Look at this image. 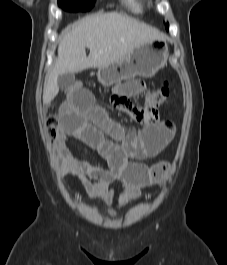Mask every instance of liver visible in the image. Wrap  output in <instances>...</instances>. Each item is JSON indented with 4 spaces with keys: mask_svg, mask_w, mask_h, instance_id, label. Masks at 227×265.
I'll return each instance as SVG.
<instances>
[{
    "mask_svg": "<svg viewBox=\"0 0 227 265\" xmlns=\"http://www.w3.org/2000/svg\"><path fill=\"white\" fill-rule=\"evenodd\" d=\"M152 40H165V35L121 13H100L79 20L64 30L58 58L45 79L43 103L49 104L58 94L59 75L107 67ZM86 47L90 50L88 57Z\"/></svg>",
    "mask_w": 227,
    "mask_h": 265,
    "instance_id": "obj_1",
    "label": "liver"
}]
</instances>
